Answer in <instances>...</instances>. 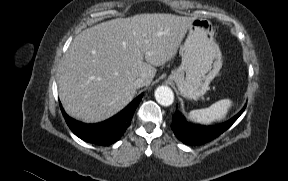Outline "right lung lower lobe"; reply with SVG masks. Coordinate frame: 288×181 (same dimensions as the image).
Returning a JSON list of instances; mask_svg holds the SVG:
<instances>
[{"instance_id": "obj_1", "label": "right lung lower lobe", "mask_w": 288, "mask_h": 181, "mask_svg": "<svg viewBox=\"0 0 288 181\" xmlns=\"http://www.w3.org/2000/svg\"><path fill=\"white\" fill-rule=\"evenodd\" d=\"M143 94L133 100L123 111L111 119L98 124H85L69 117L61 107L64 119L71 131L80 139L101 146L117 142L130 126L133 114Z\"/></svg>"}]
</instances>
